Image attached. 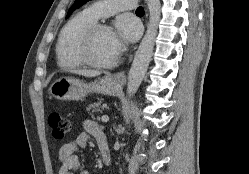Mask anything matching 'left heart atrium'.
Segmentation results:
<instances>
[{"label":"left heart atrium","mask_w":249,"mask_h":174,"mask_svg":"<svg viewBox=\"0 0 249 174\" xmlns=\"http://www.w3.org/2000/svg\"><path fill=\"white\" fill-rule=\"evenodd\" d=\"M139 27L137 23L130 19H122L117 24L115 32L117 40V52L120 50L121 44L124 41H133L139 35Z\"/></svg>","instance_id":"1"}]
</instances>
